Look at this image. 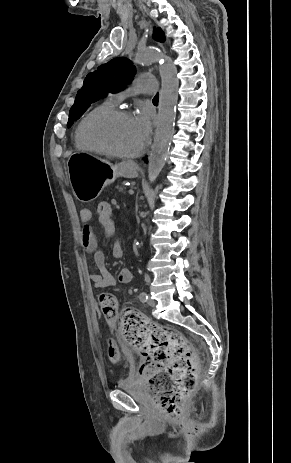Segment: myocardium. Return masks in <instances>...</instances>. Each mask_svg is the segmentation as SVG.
I'll use <instances>...</instances> for the list:
<instances>
[{"instance_id": "f54148a6", "label": "myocardium", "mask_w": 291, "mask_h": 463, "mask_svg": "<svg viewBox=\"0 0 291 463\" xmlns=\"http://www.w3.org/2000/svg\"><path fill=\"white\" fill-rule=\"evenodd\" d=\"M121 117H131V114H130L129 111H127L125 109H111V110H109L107 112L97 114V115L91 117L86 122V124H85V126L83 128V138H84L85 142L92 149H94V150H96L98 152L110 155V156H114V157H118V158H122V159H131V158H135V157L139 156L143 152V150L145 148V145H144L145 143L139 149H137L136 151L131 152V153H126V152H120V151L114 149L113 147L108 145L106 142L95 138L94 135H93V131H94L95 127H97L99 125H102V124H106L108 122H111V121H113L115 119H118V118H121Z\"/></svg>"}]
</instances>
